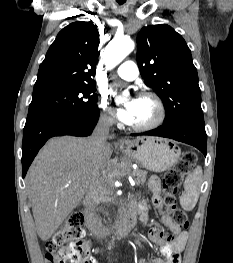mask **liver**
Here are the masks:
<instances>
[{"instance_id":"6515ba94","label":"liver","mask_w":233,"mask_h":263,"mask_svg":"<svg viewBox=\"0 0 233 263\" xmlns=\"http://www.w3.org/2000/svg\"><path fill=\"white\" fill-rule=\"evenodd\" d=\"M112 149L98 162L90 138H51L39 152L26 178L37 234L48 240L80 204L89 186L104 172Z\"/></svg>"}]
</instances>
